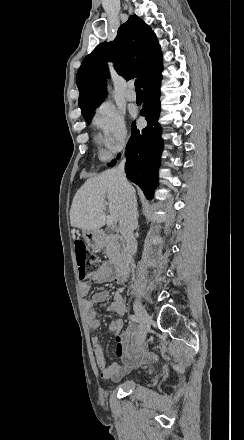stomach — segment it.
<instances>
[{
    "label": "stomach",
    "mask_w": 244,
    "mask_h": 440,
    "mask_svg": "<svg viewBox=\"0 0 244 440\" xmlns=\"http://www.w3.org/2000/svg\"><path fill=\"white\" fill-rule=\"evenodd\" d=\"M82 234L89 248L97 250V248L103 246V238L100 230H83Z\"/></svg>",
    "instance_id": "obj_1"
}]
</instances>
